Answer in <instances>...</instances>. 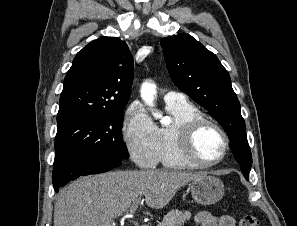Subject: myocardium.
<instances>
[{"instance_id": "f54148a6", "label": "myocardium", "mask_w": 297, "mask_h": 226, "mask_svg": "<svg viewBox=\"0 0 297 226\" xmlns=\"http://www.w3.org/2000/svg\"><path fill=\"white\" fill-rule=\"evenodd\" d=\"M206 126L215 128L223 138V148L218 158L212 161H203L195 152V139L201 129ZM175 138L181 156L191 165L197 168H210L223 161L229 149L230 139L225 129L215 120L209 118H197L179 125L175 129Z\"/></svg>"}]
</instances>
